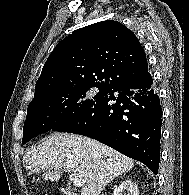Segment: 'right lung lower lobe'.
I'll return each instance as SVG.
<instances>
[{
  "label": "right lung lower lobe",
  "mask_w": 189,
  "mask_h": 195,
  "mask_svg": "<svg viewBox=\"0 0 189 195\" xmlns=\"http://www.w3.org/2000/svg\"><path fill=\"white\" fill-rule=\"evenodd\" d=\"M161 105L148 67L106 89L91 108L53 131L84 135L144 163L158 173Z\"/></svg>",
  "instance_id": "98d812e1"
}]
</instances>
